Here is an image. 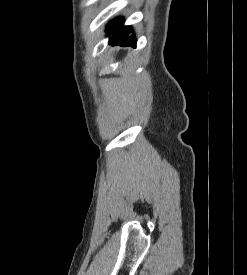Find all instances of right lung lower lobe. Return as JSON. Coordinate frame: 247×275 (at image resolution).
<instances>
[{
	"mask_svg": "<svg viewBox=\"0 0 247 275\" xmlns=\"http://www.w3.org/2000/svg\"><path fill=\"white\" fill-rule=\"evenodd\" d=\"M132 30L129 26H123V19L117 18L110 22L107 27V33L113 34V37L110 38V43L112 45H121V46H136V40L133 35L129 38L128 33Z\"/></svg>",
	"mask_w": 247,
	"mask_h": 275,
	"instance_id": "1",
	"label": "right lung lower lobe"
}]
</instances>
